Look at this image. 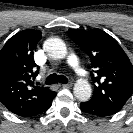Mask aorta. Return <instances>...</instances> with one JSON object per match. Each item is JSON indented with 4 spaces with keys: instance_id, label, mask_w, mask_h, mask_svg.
Listing matches in <instances>:
<instances>
[{
    "instance_id": "1",
    "label": "aorta",
    "mask_w": 133,
    "mask_h": 133,
    "mask_svg": "<svg viewBox=\"0 0 133 133\" xmlns=\"http://www.w3.org/2000/svg\"><path fill=\"white\" fill-rule=\"evenodd\" d=\"M44 50L55 59L64 58L67 55L65 43L59 38H49L44 42ZM91 86L87 80L79 79L74 85V95L80 101H87L91 97Z\"/></svg>"
}]
</instances>
